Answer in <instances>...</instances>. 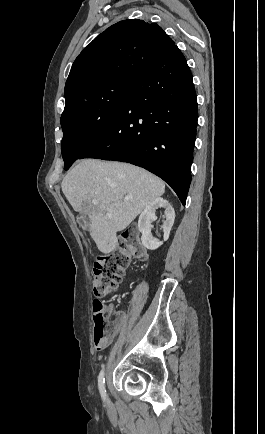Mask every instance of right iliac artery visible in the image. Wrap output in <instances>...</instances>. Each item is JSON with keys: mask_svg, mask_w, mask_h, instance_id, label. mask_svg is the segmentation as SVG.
I'll return each mask as SVG.
<instances>
[{"mask_svg": "<svg viewBox=\"0 0 265 434\" xmlns=\"http://www.w3.org/2000/svg\"><path fill=\"white\" fill-rule=\"evenodd\" d=\"M98 387H99V391H100V394H101L103 400H105L106 399V389H105L104 367L98 376Z\"/></svg>", "mask_w": 265, "mask_h": 434, "instance_id": "1", "label": "right iliac artery"}]
</instances>
